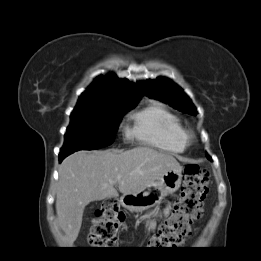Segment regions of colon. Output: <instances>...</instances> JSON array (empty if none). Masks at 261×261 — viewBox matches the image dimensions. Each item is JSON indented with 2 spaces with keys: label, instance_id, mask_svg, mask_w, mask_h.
<instances>
[{
  "label": "colon",
  "instance_id": "obj_1",
  "mask_svg": "<svg viewBox=\"0 0 261 261\" xmlns=\"http://www.w3.org/2000/svg\"><path fill=\"white\" fill-rule=\"evenodd\" d=\"M208 173L190 165L184 170L179 198L171 215L159 226L149 241L153 248H171L181 244L191 232V225L203 214L202 203L207 195ZM125 213L116 201L106 200L95 212L88 242L95 248L112 249L118 246V235Z\"/></svg>",
  "mask_w": 261,
  "mask_h": 261
}]
</instances>
